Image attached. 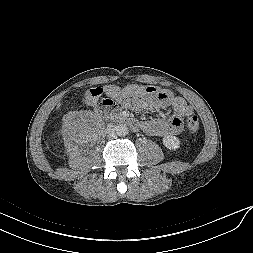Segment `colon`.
Instances as JSON below:
<instances>
[{
  "instance_id": "1",
  "label": "colon",
  "mask_w": 253,
  "mask_h": 253,
  "mask_svg": "<svg viewBox=\"0 0 253 253\" xmlns=\"http://www.w3.org/2000/svg\"><path fill=\"white\" fill-rule=\"evenodd\" d=\"M160 92L161 89L156 86L128 85L121 89L115 85H109L104 88H90L84 96L88 102L95 103L100 100L103 94L114 100H128L145 95H159ZM186 125L191 132H196L199 129L197 116L190 115L186 120Z\"/></svg>"
}]
</instances>
